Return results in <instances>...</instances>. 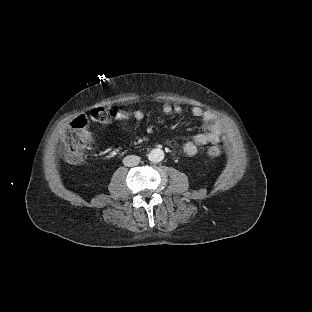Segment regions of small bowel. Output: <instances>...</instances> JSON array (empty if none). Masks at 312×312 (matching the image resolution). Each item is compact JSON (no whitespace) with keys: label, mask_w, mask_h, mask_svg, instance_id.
Returning a JSON list of instances; mask_svg holds the SVG:
<instances>
[{"label":"small bowel","mask_w":312,"mask_h":312,"mask_svg":"<svg viewBox=\"0 0 312 312\" xmlns=\"http://www.w3.org/2000/svg\"><path fill=\"white\" fill-rule=\"evenodd\" d=\"M162 110L168 115L172 113L180 114L183 112V107L179 103L164 102ZM191 114L193 117L200 118L203 121L205 132L194 135L185 143L184 152L187 155H194L200 146L220 142L223 133L220 120L210 111H206L200 106H192ZM128 119L132 127L137 129L143 124L145 115L140 110H134L129 113ZM167 144L170 145V142L167 141Z\"/></svg>","instance_id":"1"}]
</instances>
